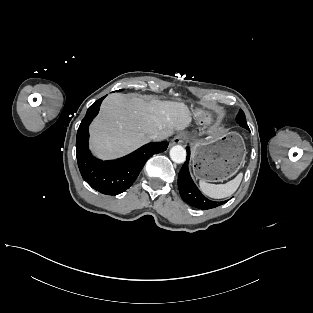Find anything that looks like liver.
<instances>
[{
    "mask_svg": "<svg viewBox=\"0 0 313 313\" xmlns=\"http://www.w3.org/2000/svg\"><path fill=\"white\" fill-rule=\"evenodd\" d=\"M191 112L182 102L140 95L111 94L90 126L91 148L103 159L127 154L159 132L163 139L190 125Z\"/></svg>",
    "mask_w": 313,
    "mask_h": 313,
    "instance_id": "obj_1",
    "label": "liver"
}]
</instances>
